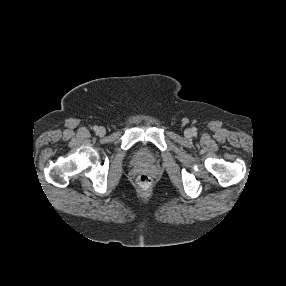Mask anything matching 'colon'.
I'll return each mask as SVG.
<instances>
[{"instance_id":"5ec220e1","label":"colon","mask_w":286,"mask_h":286,"mask_svg":"<svg viewBox=\"0 0 286 286\" xmlns=\"http://www.w3.org/2000/svg\"><path fill=\"white\" fill-rule=\"evenodd\" d=\"M137 184L142 188H148L152 184V178L147 174H141L137 177Z\"/></svg>"}]
</instances>
